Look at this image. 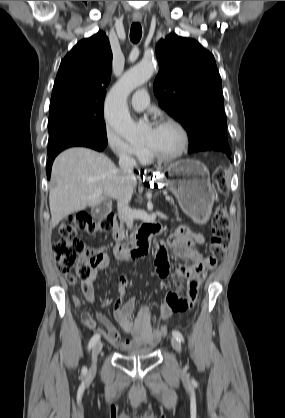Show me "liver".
<instances>
[{"label": "liver", "instance_id": "6515ba94", "mask_svg": "<svg viewBox=\"0 0 285 418\" xmlns=\"http://www.w3.org/2000/svg\"><path fill=\"white\" fill-rule=\"evenodd\" d=\"M49 191L51 227L68 215L95 207L107 198L118 199L126 185L135 189L136 178L126 177L106 155L82 147L61 152L54 160Z\"/></svg>", "mask_w": 285, "mask_h": 418}]
</instances>
